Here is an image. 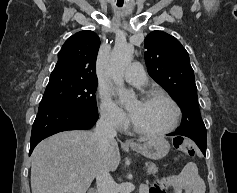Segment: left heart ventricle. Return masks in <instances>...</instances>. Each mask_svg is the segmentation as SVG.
<instances>
[{
	"label": "left heart ventricle",
	"mask_w": 237,
	"mask_h": 193,
	"mask_svg": "<svg viewBox=\"0 0 237 193\" xmlns=\"http://www.w3.org/2000/svg\"><path fill=\"white\" fill-rule=\"evenodd\" d=\"M132 121L145 130L157 131L170 126L174 111L164 99L156 98L149 101H134L129 106Z\"/></svg>",
	"instance_id": "left-heart-ventricle-1"
}]
</instances>
